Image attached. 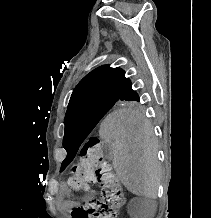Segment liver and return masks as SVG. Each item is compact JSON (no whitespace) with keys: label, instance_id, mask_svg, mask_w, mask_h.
Returning <instances> with one entry per match:
<instances>
[{"label":"liver","instance_id":"obj_1","mask_svg":"<svg viewBox=\"0 0 211 218\" xmlns=\"http://www.w3.org/2000/svg\"><path fill=\"white\" fill-rule=\"evenodd\" d=\"M100 138L110 144L113 168L123 186L145 198H156L160 186L157 140L140 110H114L103 120Z\"/></svg>","mask_w":211,"mask_h":218}]
</instances>
